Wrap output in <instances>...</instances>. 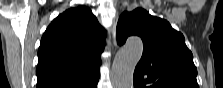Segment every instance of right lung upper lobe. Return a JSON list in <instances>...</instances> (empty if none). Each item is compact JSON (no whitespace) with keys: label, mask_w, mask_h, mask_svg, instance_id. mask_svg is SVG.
<instances>
[{"label":"right lung upper lobe","mask_w":223,"mask_h":88,"mask_svg":"<svg viewBox=\"0 0 223 88\" xmlns=\"http://www.w3.org/2000/svg\"><path fill=\"white\" fill-rule=\"evenodd\" d=\"M106 32L87 7L66 10L44 32L37 88H90L99 79Z\"/></svg>","instance_id":"cb5924a9"}]
</instances>
